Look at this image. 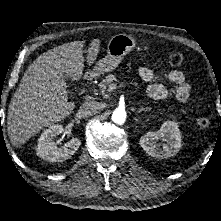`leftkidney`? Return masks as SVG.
<instances>
[{
  "label": "left kidney",
  "mask_w": 221,
  "mask_h": 221,
  "mask_svg": "<svg viewBox=\"0 0 221 221\" xmlns=\"http://www.w3.org/2000/svg\"><path fill=\"white\" fill-rule=\"evenodd\" d=\"M159 140L166 142L160 147ZM143 150L152 157L165 159L176 155L181 148V133L178 124L166 121L160 130L147 132L139 141Z\"/></svg>",
  "instance_id": "left-kidney-1"
}]
</instances>
